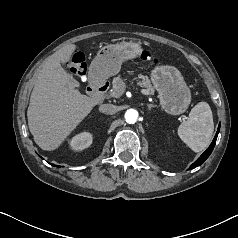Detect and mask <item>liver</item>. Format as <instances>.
<instances>
[{
    "mask_svg": "<svg viewBox=\"0 0 238 238\" xmlns=\"http://www.w3.org/2000/svg\"><path fill=\"white\" fill-rule=\"evenodd\" d=\"M76 45H68L49 56L36 74L27 110L28 127L43 150H55L98 104L81 94L61 66L70 61Z\"/></svg>",
    "mask_w": 238,
    "mask_h": 238,
    "instance_id": "liver-1",
    "label": "liver"
}]
</instances>
